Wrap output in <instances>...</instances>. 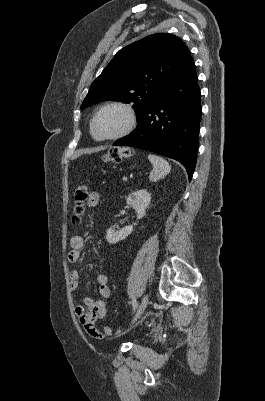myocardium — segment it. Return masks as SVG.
I'll return each mask as SVG.
<instances>
[{
  "instance_id": "obj_1",
  "label": "myocardium",
  "mask_w": 265,
  "mask_h": 401,
  "mask_svg": "<svg viewBox=\"0 0 265 401\" xmlns=\"http://www.w3.org/2000/svg\"><path fill=\"white\" fill-rule=\"evenodd\" d=\"M109 109H119V110L123 111L125 114L124 124H123L122 128L116 134H114L112 136L97 137L94 133L95 122H96L97 118L103 112H105L106 110H109ZM135 119H136L135 112L129 104L123 103V102H110V103L103 105L93 115L92 119L90 120L89 132H90L91 137L96 141H112V140H115V139L123 136L125 133H127L133 127V125L135 123Z\"/></svg>"
}]
</instances>
